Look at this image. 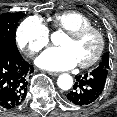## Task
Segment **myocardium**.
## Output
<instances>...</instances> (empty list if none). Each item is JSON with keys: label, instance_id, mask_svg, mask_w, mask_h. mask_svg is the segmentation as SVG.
<instances>
[{"label": "myocardium", "instance_id": "1", "mask_svg": "<svg viewBox=\"0 0 117 117\" xmlns=\"http://www.w3.org/2000/svg\"><path fill=\"white\" fill-rule=\"evenodd\" d=\"M90 32H93L97 35L98 41H99L98 47H97L95 54L89 60L78 63L80 68L91 67L100 60V58L103 55V52L105 49V43H106L104 33L102 32L101 29H99L95 26H92V25L80 27V28L66 32V35L71 38H80L83 35L90 33Z\"/></svg>", "mask_w": 117, "mask_h": 117}]
</instances>
